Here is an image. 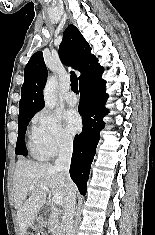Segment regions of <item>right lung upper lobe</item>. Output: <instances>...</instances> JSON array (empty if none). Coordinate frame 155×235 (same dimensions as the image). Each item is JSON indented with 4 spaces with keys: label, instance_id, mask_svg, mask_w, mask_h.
Listing matches in <instances>:
<instances>
[{
    "label": "right lung upper lobe",
    "instance_id": "obj_1",
    "mask_svg": "<svg viewBox=\"0 0 155 235\" xmlns=\"http://www.w3.org/2000/svg\"><path fill=\"white\" fill-rule=\"evenodd\" d=\"M59 56L63 63L70 65L71 62L73 68L81 72L79 85L101 75L104 71V68L98 64L96 56L91 54L89 44L74 25H69L64 31ZM47 76L48 71L43 54L39 51L30 58L25 66L19 117L36 113L44 107L43 88Z\"/></svg>",
    "mask_w": 155,
    "mask_h": 235
}]
</instances>
